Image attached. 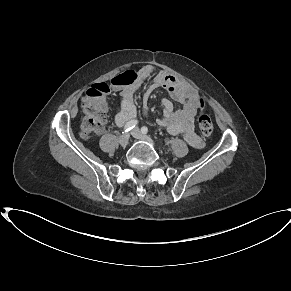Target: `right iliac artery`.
<instances>
[{
	"label": "right iliac artery",
	"instance_id": "82829eb1",
	"mask_svg": "<svg viewBox=\"0 0 291 291\" xmlns=\"http://www.w3.org/2000/svg\"><path fill=\"white\" fill-rule=\"evenodd\" d=\"M137 124H138V121L137 120H131V121L127 122L126 125L123 128L122 133L129 132L130 130H132L133 128H135L137 126Z\"/></svg>",
	"mask_w": 291,
	"mask_h": 291
}]
</instances>
